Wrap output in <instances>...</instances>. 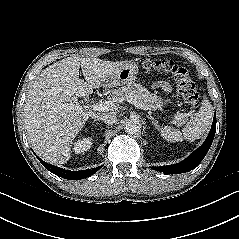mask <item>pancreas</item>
<instances>
[{
  "instance_id": "obj_1",
  "label": "pancreas",
  "mask_w": 239,
  "mask_h": 239,
  "mask_svg": "<svg viewBox=\"0 0 239 239\" xmlns=\"http://www.w3.org/2000/svg\"><path fill=\"white\" fill-rule=\"evenodd\" d=\"M131 97L152 110L160 108L161 106V100L140 84H130L114 89L112 90L110 99L114 104L118 105ZM184 122L182 117L176 125L181 126Z\"/></svg>"
}]
</instances>
